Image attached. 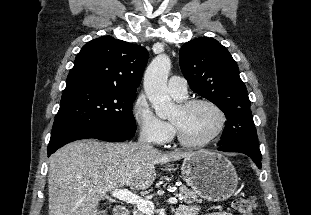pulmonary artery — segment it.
I'll list each match as a JSON object with an SVG mask.
<instances>
[{
    "label": "pulmonary artery",
    "instance_id": "e3ab8cb5",
    "mask_svg": "<svg viewBox=\"0 0 311 215\" xmlns=\"http://www.w3.org/2000/svg\"><path fill=\"white\" fill-rule=\"evenodd\" d=\"M167 87L169 93L174 97L185 98L187 96V82L180 76L170 77Z\"/></svg>",
    "mask_w": 311,
    "mask_h": 215
}]
</instances>
